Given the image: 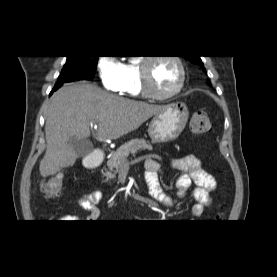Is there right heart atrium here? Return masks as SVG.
Returning a JSON list of instances; mask_svg holds the SVG:
<instances>
[{
  "label": "right heart atrium",
  "instance_id": "obj_1",
  "mask_svg": "<svg viewBox=\"0 0 277 277\" xmlns=\"http://www.w3.org/2000/svg\"><path fill=\"white\" fill-rule=\"evenodd\" d=\"M97 69L103 87L109 91L122 92L125 85L124 64L113 55L101 56Z\"/></svg>",
  "mask_w": 277,
  "mask_h": 277
}]
</instances>
